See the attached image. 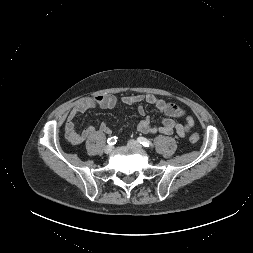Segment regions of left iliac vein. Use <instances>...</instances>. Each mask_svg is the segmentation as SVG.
Masks as SVG:
<instances>
[{
  "mask_svg": "<svg viewBox=\"0 0 253 253\" xmlns=\"http://www.w3.org/2000/svg\"><path fill=\"white\" fill-rule=\"evenodd\" d=\"M128 147L136 150H142V146L138 141L135 140H129L127 143Z\"/></svg>",
  "mask_w": 253,
  "mask_h": 253,
  "instance_id": "obj_1",
  "label": "left iliac vein"
}]
</instances>
